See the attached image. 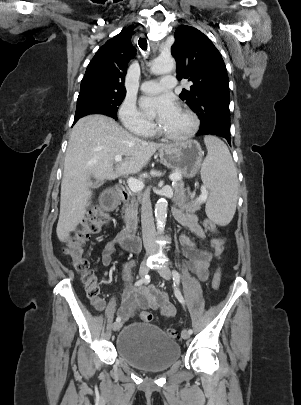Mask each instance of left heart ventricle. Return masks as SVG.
<instances>
[{
    "label": "left heart ventricle",
    "mask_w": 301,
    "mask_h": 405,
    "mask_svg": "<svg viewBox=\"0 0 301 405\" xmlns=\"http://www.w3.org/2000/svg\"><path fill=\"white\" fill-rule=\"evenodd\" d=\"M160 126L168 133L183 134L189 130L191 121L184 113L179 111L167 120L160 122Z\"/></svg>",
    "instance_id": "obj_1"
}]
</instances>
